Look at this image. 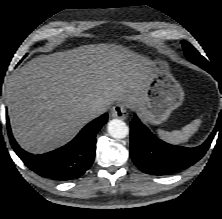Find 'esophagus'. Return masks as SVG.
<instances>
[{"mask_svg": "<svg viewBox=\"0 0 222 219\" xmlns=\"http://www.w3.org/2000/svg\"><path fill=\"white\" fill-rule=\"evenodd\" d=\"M128 115L126 106L123 103H117L113 108H112V117L113 118H118L121 120L126 119Z\"/></svg>", "mask_w": 222, "mask_h": 219, "instance_id": "34e87169", "label": "esophagus"}]
</instances>
